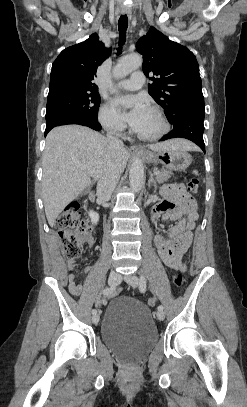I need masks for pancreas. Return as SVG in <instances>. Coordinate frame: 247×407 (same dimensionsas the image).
Masks as SVG:
<instances>
[{"label": "pancreas", "instance_id": "pancreas-1", "mask_svg": "<svg viewBox=\"0 0 247 407\" xmlns=\"http://www.w3.org/2000/svg\"><path fill=\"white\" fill-rule=\"evenodd\" d=\"M172 174V172L162 169L159 171V174L156 175V180L159 183L166 182L172 176Z\"/></svg>", "mask_w": 247, "mask_h": 407}]
</instances>
